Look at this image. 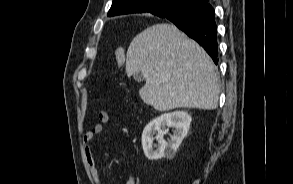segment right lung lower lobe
<instances>
[{"instance_id": "right-lung-lower-lobe-1", "label": "right lung lower lobe", "mask_w": 293, "mask_h": 184, "mask_svg": "<svg viewBox=\"0 0 293 184\" xmlns=\"http://www.w3.org/2000/svg\"><path fill=\"white\" fill-rule=\"evenodd\" d=\"M159 17L167 18L197 41L217 64V26L212 6L195 1L184 2Z\"/></svg>"}]
</instances>
